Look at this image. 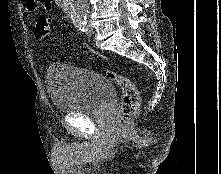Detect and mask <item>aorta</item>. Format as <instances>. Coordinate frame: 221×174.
I'll list each match as a JSON object with an SVG mask.
<instances>
[{
  "label": "aorta",
  "mask_w": 221,
  "mask_h": 174,
  "mask_svg": "<svg viewBox=\"0 0 221 174\" xmlns=\"http://www.w3.org/2000/svg\"><path fill=\"white\" fill-rule=\"evenodd\" d=\"M66 14L72 19L83 20L87 16L89 3L88 0H62Z\"/></svg>",
  "instance_id": "aorta-1"
}]
</instances>
